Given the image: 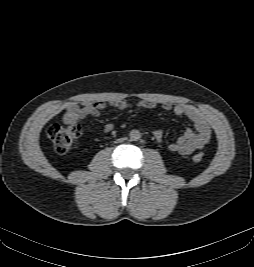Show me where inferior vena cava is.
Here are the masks:
<instances>
[{
  "instance_id": "obj_1",
  "label": "inferior vena cava",
  "mask_w": 254,
  "mask_h": 267,
  "mask_svg": "<svg viewBox=\"0 0 254 267\" xmlns=\"http://www.w3.org/2000/svg\"><path fill=\"white\" fill-rule=\"evenodd\" d=\"M123 140H124L123 138H122V139H118L117 142H121V141H123Z\"/></svg>"
}]
</instances>
